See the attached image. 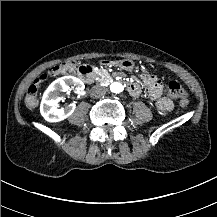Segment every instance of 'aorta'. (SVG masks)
<instances>
[{
    "mask_svg": "<svg viewBox=\"0 0 217 217\" xmlns=\"http://www.w3.org/2000/svg\"><path fill=\"white\" fill-rule=\"evenodd\" d=\"M111 89L114 93H121L124 91V86L123 84L117 82V83L112 84Z\"/></svg>",
    "mask_w": 217,
    "mask_h": 217,
    "instance_id": "762f6f07",
    "label": "aorta"
}]
</instances>
